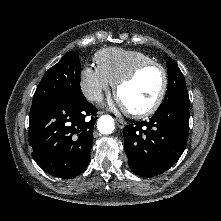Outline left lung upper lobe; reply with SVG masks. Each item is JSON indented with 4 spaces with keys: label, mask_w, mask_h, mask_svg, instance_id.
Returning a JSON list of instances; mask_svg holds the SVG:
<instances>
[{
    "label": "left lung upper lobe",
    "mask_w": 221,
    "mask_h": 221,
    "mask_svg": "<svg viewBox=\"0 0 221 221\" xmlns=\"http://www.w3.org/2000/svg\"><path fill=\"white\" fill-rule=\"evenodd\" d=\"M166 64L169 77L168 86L164 101L158 109L173 102L179 97L188 96L186 82L178 66L174 63V61L171 58L167 59Z\"/></svg>",
    "instance_id": "1"
}]
</instances>
